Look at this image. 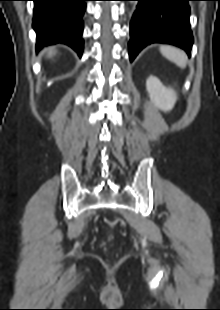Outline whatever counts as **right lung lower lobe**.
<instances>
[{
    "label": "right lung lower lobe",
    "mask_w": 220,
    "mask_h": 310,
    "mask_svg": "<svg viewBox=\"0 0 220 310\" xmlns=\"http://www.w3.org/2000/svg\"><path fill=\"white\" fill-rule=\"evenodd\" d=\"M36 49L63 43L83 53V15L88 0H33Z\"/></svg>",
    "instance_id": "98d812e1"
}]
</instances>
